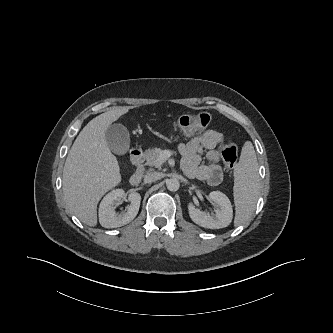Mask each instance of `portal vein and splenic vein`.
I'll use <instances>...</instances> for the list:
<instances>
[{"label":"portal vein and splenic vein","instance_id":"obj_1","mask_svg":"<svg viewBox=\"0 0 333 333\" xmlns=\"http://www.w3.org/2000/svg\"><path fill=\"white\" fill-rule=\"evenodd\" d=\"M170 157V154L166 151L162 152L160 155V160L165 161Z\"/></svg>","mask_w":333,"mask_h":333}]
</instances>
